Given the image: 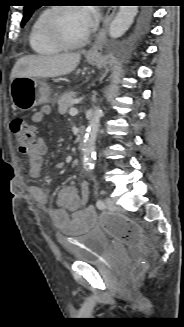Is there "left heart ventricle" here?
<instances>
[{"label":"left heart ventricle","instance_id":"1","mask_svg":"<svg viewBox=\"0 0 184 327\" xmlns=\"http://www.w3.org/2000/svg\"><path fill=\"white\" fill-rule=\"evenodd\" d=\"M58 26L62 34L71 41L81 39L89 30L77 8L61 12L58 15Z\"/></svg>","mask_w":184,"mask_h":327}]
</instances>
